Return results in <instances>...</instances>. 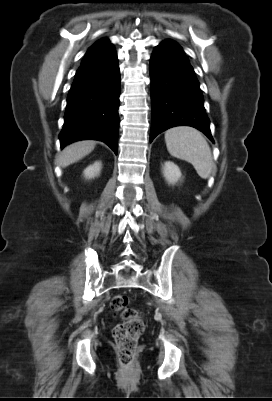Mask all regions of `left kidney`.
Here are the masks:
<instances>
[{"mask_svg":"<svg viewBox=\"0 0 272 401\" xmlns=\"http://www.w3.org/2000/svg\"><path fill=\"white\" fill-rule=\"evenodd\" d=\"M163 175L169 184H175L182 176L179 167L171 161L164 163Z\"/></svg>","mask_w":272,"mask_h":401,"instance_id":"5707ae66","label":"left kidney"}]
</instances>
